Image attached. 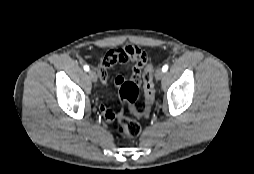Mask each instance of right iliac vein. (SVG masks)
<instances>
[{"mask_svg":"<svg viewBox=\"0 0 254 174\" xmlns=\"http://www.w3.org/2000/svg\"><path fill=\"white\" fill-rule=\"evenodd\" d=\"M88 74H89V77H90V79L92 80V82H94V83L97 82L98 77H97V74H96L95 71L90 70V71L88 72Z\"/></svg>","mask_w":254,"mask_h":174,"instance_id":"right-iliac-vein-1","label":"right iliac vein"}]
</instances>
